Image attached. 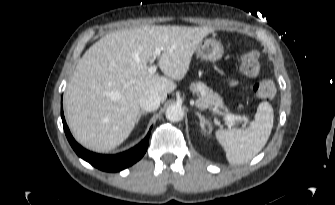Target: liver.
Here are the masks:
<instances>
[{
	"instance_id": "1",
	"label": "liver",
	"mask_w": 335,
	"mask_h": 205,
	"mask_svg": "<svg viewBox=\"0 0 335 205\" xmlns=\"http://www.w3.org/2000/svg\"><path fill=\"white\" fill-rule=\"evenodd\" d=\"M211 27L150 26L109 33L77 63L67 85L64 108L75 139L95 152H108L134 129L144 92L155 90L165 101L173 80L187 74L199 43ZM156 47L165 76L150 74Z\"/></svg>"
}]
</instances>
